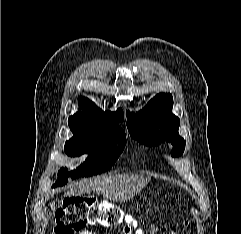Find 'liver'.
<instances>
[{"label":"liver","instance_id":"1","mask_svg":"<svg viewBox=\"0 0 241 234\" xmlns=\"http://www.w3.org/2000/svg\"><path fill=\"white\" fill-rule=\"evenodd\" d=\"M151 178L135 174H118L105 178L86 180L68 191L64 197L88 195L92 191H99L105 199L110 201H127L140 192Z\"/></svg>","mask_w":241,"mask_h":234}]
</instances>
